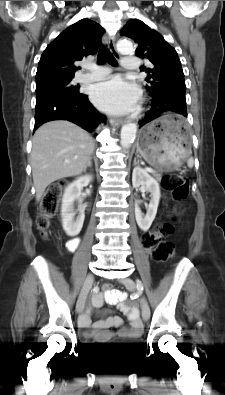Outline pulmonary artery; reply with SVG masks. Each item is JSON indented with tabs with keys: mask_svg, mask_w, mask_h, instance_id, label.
<instances>
[{
	"mask_svg": "<svg viewBox=\"0 0 225 395\" xmlns=\"http://www.w3.org/2000/svg\"><path fill=\"white\" fill-rule=\"evenodd\" d=\"M122 67L126 70H136L138 68V59L127 56L122 59ZM90 72L83 74L79 80L81 82H95L105 79L110 73V69L101 66H91Z\"/></svg>",
	"mask_w": 225,
	"mask_h": 395,
	"instance_id": "obj_1",
	"label": "pulmonary artery"
}]
</instances>
